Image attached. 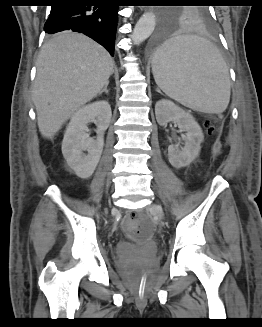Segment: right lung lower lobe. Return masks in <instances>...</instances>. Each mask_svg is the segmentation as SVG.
Instances as JSON below:
<instances>
[{"label": "right lung lower lobe", "mask_w": 262, "mask_h": 327, "mask_svg": "<svg viewBox=\"0 0 262 327\" xmlns=\"http://www.w3.org/2000/svg\"><path fill=\"white\" fill-rule=\"evenodd\" d=\"M53 3L44 25L46 33L65 30L83 33L114 56L118 6H85L76 0H53Z\"/></svg>", "instance_id": "98d812e1"}]
</instances>
